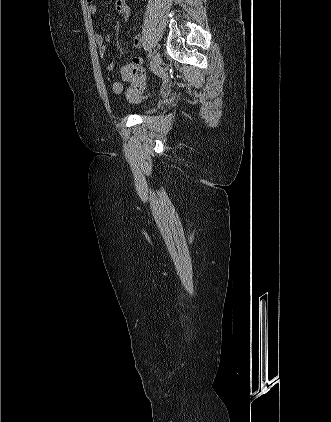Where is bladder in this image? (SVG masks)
Returning <instances> with one entry per match:
<instances>
[{
  "label": "bladder",
  "mask_w": 331,
  "mask_h": 422,
  "mask_svg": "<svg viewBox=\"0 0 331 422\" xmlns=\"http://www.w3.org/2000/svg\"><path fill=\"white\" fill-rule=\"evenodd\" d=\"M151 109H139V110H136V113H138V114H148V113H151Z\"/></svg>",
  "instance_id": "31cf9c89"
}]
</instances>
